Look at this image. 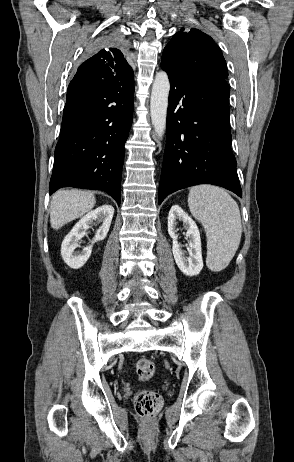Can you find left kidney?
Returning a JSON list of instances; mask_svg holds the SVG:
<instances>
[{
    "instance_id": "1",
    "label": "left kidney",
    "mask_w": 294,
    "mask_h": 462,
    "mask_svg": "<svg viewBox=\"0 0 294 462\" xmlns=\"http://www.w3.org/2000/svg\"><path fill=\"white\" fill-rule=\"evenodd\" d=\"M178 220L183 221L184 227L187 230L186 235L189 238V247L187 250L189 257H185L177 241L176 225ZM168 233L173 240L172 252L178 268L187 276L198 275L203 268L200 232L192 218L178 205L172 206L169 211Z\"/></svg>"
}]
</instances>
